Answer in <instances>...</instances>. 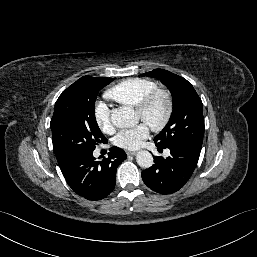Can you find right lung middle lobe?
I'll list each match as a JSON object with an SVG mask.
<instances>
[{"instance_id":"obj_1","label":"right lung middle lobe","mask_w":257,"mask_h":257,"mask_svg":"<svg viewBox=\"0 0 257 257\" xmlns=\"http://www.w3.org/2000/svg\"><path fill=\"white\" fill-rule=\"evenodd\" d=\"M112 78L84 76L59 96L51 119L53 149L57 160L85 156L107 139L95 118L98 92Z\"/></svg>"}]
</instances>
